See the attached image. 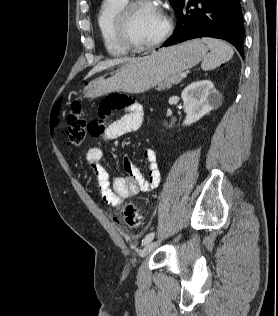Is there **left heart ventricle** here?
I'll return each mask as SVG.
<instances>
[{
    "label": "left heart ventricle",
    "instance_id": "1",
    "mask_svg": "<svg viewBox=\"0 0 278 316\" xmlns=\"http://www.w3.org/2000/svg\"><path fill=\"white\" fill-rule=\"evenodd\" d=\"M165 29L161 10L153 4L138 7L130 19V33L138 43H149L158 38Z\"/></svg>",
    "mask_w": 278,
    "mask_h": 316
}]
</instances>
